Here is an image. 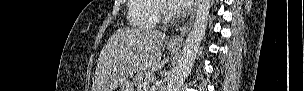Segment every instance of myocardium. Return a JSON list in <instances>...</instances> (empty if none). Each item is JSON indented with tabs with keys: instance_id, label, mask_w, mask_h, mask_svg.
Segmentation results:
<instances>
[{
	"instance_id": "myocardium-1",
	"label": "myocardium",
	"mask_w": 304,
	"mask_h": 91,
	"mask_svg": "<svg viewBox=\"0 0 304 91\" xmlns=\"http://www.w3.org/2000/svg\"><path fill=\"white\" fill-rule=\"evenodd\" d=\"M157 10H158V16L163 23L167 24L174 21L176 15L172 11L170 1H166V0L158 1Z\"/></svg>"
}]
</instances>
